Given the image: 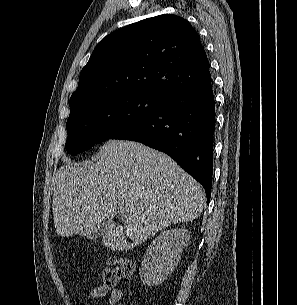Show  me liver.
I'll return each mask as SVG.
<instances>
[{"instance_id": "1", "label": "liver", "mask_w": 297, "mask_h": 305, "mask_svg": "<svg viewBox=\"0 0 297 305\" xmlns=\"http://www.w3.org/2000/svg\"><path fill=\"white\" fill-rule=\"evenodd\" d=\"M204 202L200 184L166 154L138 142L109 140L95 163H68L58 170L52 210L57 234L68 237L90 233L124 209L123 225L102 243L127 251L171 224L196 219Z\"/></svg>"}]
</instances>
